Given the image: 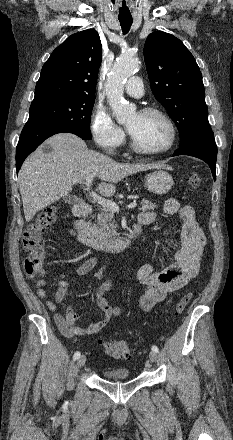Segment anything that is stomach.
Listing matches in <instances>:
<instances>
[{"mask_svg":"<svg viewBox=\"0 0 233 440\" xmlns=\"http://www.w3.org/2000/svg\"><path fill=\"white\" fill-rule=\"evenodd\" d=\"M174 181L172 176L164 170H156L146 175L145 186L154 194H165L173 186Z\"/></svg>","mask_w":233,"mask_h":440,"instance_id":"stomach-1","label":"stomach"}]
</instances>
